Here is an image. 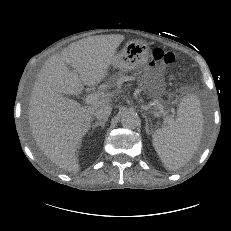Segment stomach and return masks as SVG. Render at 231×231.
<instances>
[{
	"label": "stomach",
	"mask_w": 231,
	"mask_h": 231,
	"mask_svg": "<svg viewBox=\"0 0 231 231\" xmlns=\"http://www.w3.org/2000/svg\"><path fill=\"white\" fill-rule=\"evenodd\" d=\"M150 54L148 44L135 39L128 41L122 50L114 56L112 66L121 72L140 68L146 63ZM142 88L152 97L158 98L164 88V78L160 73H146L140 78Z\"/></svg>",
	"instance_id": "obj_1"
}]
</instances>
